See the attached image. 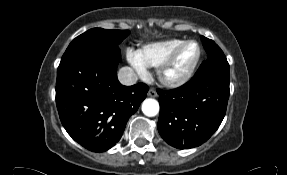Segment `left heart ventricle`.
Instances as JSON below:
<instances>
[{"mask_svg": "<svg viewBox=\"0 0 287 175\" xmlns=\"http://www.w3.org/2000/svg\"><path fill=\"white\" fill-rule=\"evenodd\" d=\"M197 56V46L193 43L185 46L179 53L175 63L169 71V76L176 77L190 68Z\"/></svg>", "mask_w": 287, "mask_h": 175, "instance_id": "obj_1", "label": "left heart ventricle"}]
</instances>
